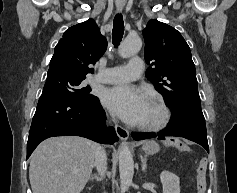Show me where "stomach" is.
Here are the masks:
<instances>
[{
	"instance_id": "obj_1",
	"label": "stomach",
	"mask_w": 237,
	"mask_h": 193,
	"mask_svg": "<svg viewBox=\"0 0 237 193\" xmlns=\"http://www.w3.org/2000/svg\"><path fill=\"white\" fill-rule=\"evenodd\" d=\"M147 155L155 154L159 151V145L155 141H146L142 147Z\"/></svg>"
}]
</instances>
